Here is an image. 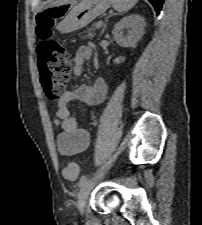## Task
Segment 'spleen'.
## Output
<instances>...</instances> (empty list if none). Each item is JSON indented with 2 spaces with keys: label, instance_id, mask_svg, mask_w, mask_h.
I'll return each mask as SVG.
<instances>
[{
  "label": "spleen",
  "instance_id": "obj_1",
  "mask_svg": "<svg viewBox=\"0 0 202 225\" xmlns=\"http://www.w3.org/2000/svg\"><path fill=\"white\" fill-rule=\"evenodd\" d=\"M138 0H112V5L119 13H125L130 10Z\"/></svg>",
  "mask_w": 202,
  "mask_h": 225
}]
</instances>
